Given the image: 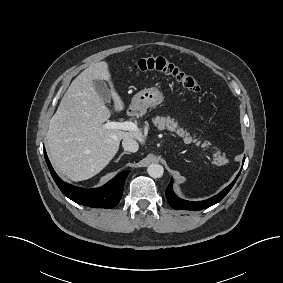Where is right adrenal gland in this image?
I'll list each match as a JSON object with an SVG mask.
<instances>
[{
  "mask_svg": "<svg viewBox=\"0 0 283 283\" xmlns=\"http://www.w3.org/2000/svg\"><path fill=\"white\" fill-rule=\"evenodd\" d=\"M124 154H130V152L123 151V152L119 155V157H118L116 160H114V162H118Z\"/></svg>",
  "mask_w": 283,
  "mask_h": 283,
  "instance_id": "1",
  "label": "right adrenal gland"
}]
</instances>
